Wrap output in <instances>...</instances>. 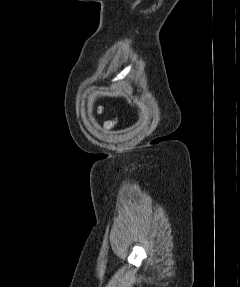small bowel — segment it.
<instances>
[{"label": "small bowel", "instance_id": "small-bowel-1", "mask_svg": "<svg viewBox=\"0 0 240 287\" xmlns=\"http://www.w3.org/2000/svg\"><path fill=\"white\" fill-rule=\"evenodd\" d=\"M98 112H99L100 114L103 113V108L100 107L99 110H98Z\"/></svg>", "mask_w": 240, "mask_h": 287}]
</instances>
